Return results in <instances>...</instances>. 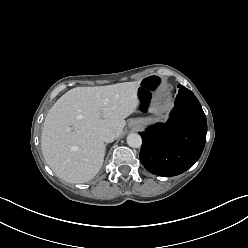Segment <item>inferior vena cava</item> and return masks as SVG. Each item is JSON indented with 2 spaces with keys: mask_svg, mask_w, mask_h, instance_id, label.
I'll return each instance as SVG.
<instances>
[{
  "mask_svg": "<svg viewBox=\"0 0 248 248\" xmlns=\"http://www.w3.org/2000/svg\"><path fill=\"white\" fill-rule=\"evenodd\" d=\"M116 137H117L116 133L112 129H109V128L103 129L100 132L101 140L106 143L113 142L116 139Z\"/></svg>",
  "mask_w": 248,
  "mask_h": 248,
  "instance_id": "602c4592",
  "label": "inferior vena cava"
}]
</instances>
